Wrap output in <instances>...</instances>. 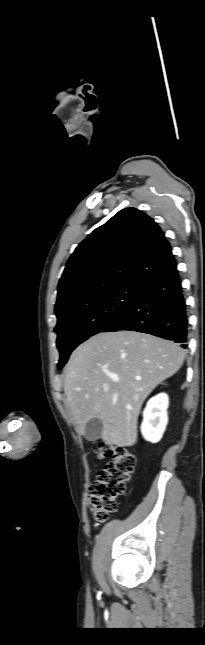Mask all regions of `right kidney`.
Returning <instances> with one entry per match:
<instances>
[{"instance_id": "ca27d5eb", "label": "right kidney", "mask_w": 205, "mask_h": 645, "mask_svg": "<svg viewBox=\"0 0 205 645\" xmlns=\"http://www.w3.org/2000/svg\"><path fill=\"white\" fill-rule=\"evenodd\" d=\"M168 405L169 398L165 393H160L147 402L141 424V433L147 441L156 443L162 438L168 423Z\"/></svg>"}]
</instances>
